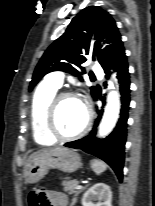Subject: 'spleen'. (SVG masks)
<instances>
[{
    "mask_svg": "<svg viewBox=\"0 0 155 206\" xmlns=\"http://www.w3.org/2000/svg\"><path fill=\"white\" fill-rule=\"evenodd\" d=\"M91 168L93 169V171L97 174L100 175L101 173H103L104 171H106L107 169V165L103 162L100 161L98 159H93L91 161Z\"/></svg>",
    "mask_w": 155,
    "mask_h": 206,
    "instance_id": "1",
    "label": "spleen"
}]
</instances>
